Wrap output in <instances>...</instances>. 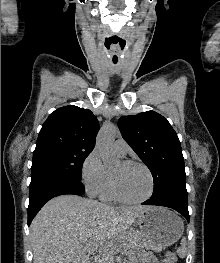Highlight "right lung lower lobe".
<instances>
[{
  "label": "right lung lower lobe",
  "mask_w": 220,
  "mask_h": 263,
  "mask_svg": "<svg viewBox=\"0 0 220 263\" xmlns=\"http://www.w3.org/2000/svg\"><path fill=\"white\" fill-rule=\"evenodd\" d=\"M84 192L85 188L81 181L48 173L32 176L28 206V226L43 205L53 197L63 194L82 195Z\"/></svg>",
  "instance_id": "98d812e1"
}]
</instances>
